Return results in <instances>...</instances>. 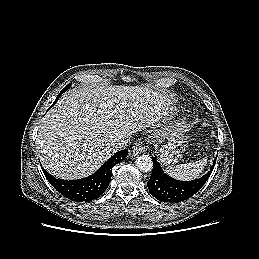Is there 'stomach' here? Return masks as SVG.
<instances>
[{
    "instance_id": "obj_1",
    "label": "stomach",
    "mask_w": 259,
    "mask_h": 259,
    "mask_svg": "<svg viewBox=\"0 0 259 259\" xmlns=\"http://www.w3.org/2000/svg\"><path fill=\"white\" fill-rule=\"evenodd\" d=\"M184 138L187 137L182 135L171 136L168 139V143L161 147L159 155L160 161L163 165H170L178 162L185 149V141H183Z\"/></svg>"
}]
</instances>
